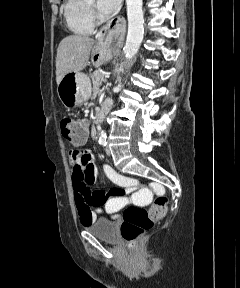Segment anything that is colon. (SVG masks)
I'll list each match as a JSON object with an SVG mask.
<instances>
[{
	"mask_svg": "<svg viewBox=\"0 0 240 288\" xmlns=\"http://www.w3.org/2000/svg\"><path fill=\"white\" fill-rule=\"evenodd\" d=\"M61 133L65 139L75 143L87 138V123L84 120L66 116L60 123ZM167 209V198L159 196L148 208L128 207L123 214L121 235L129 247L148 231L158 220L164 217Z\"/></svg>",
	"mask_w": 240,
	"mask_h": 288,
	"instance_id": "obj_1",
	"label": "colon"
}]
</instances>
